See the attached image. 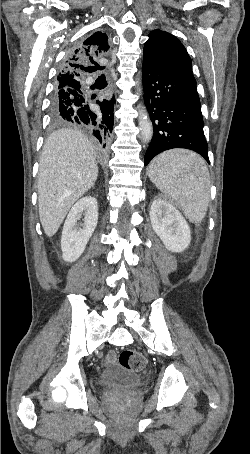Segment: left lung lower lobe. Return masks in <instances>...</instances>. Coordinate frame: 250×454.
Returning a JSON list of instances; mask_svg holds the SVG:
<instances>
[{
  "label": "left lung lower lobe",
  "mask_w": 250,
  "mask_h": 454,
  "mask_svg": "<svg viewBox=\"0 0 250 454\" xmlns=\"http://www.w3.org/2000/svg\"><path fill=\"white\" fill-rule=\"evenodd\" d=\"M143 87L145 105L154 128L144 164L173 148L193 150L209 163L194 76L168 71L143 60Z\"/></svg>",
  "instance_id": "obj_1"
}]
</instances>
